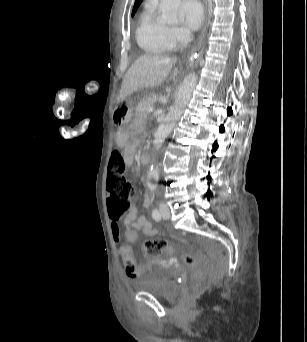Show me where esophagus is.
Returning a JSON list of instances; mask_svg holds the SVG:
<instances>
[{"instance_id":"esophagus-1","label":"esophagus","mask_w":307,"mask_h":342,"mask_svg":"<svg viewBox=\"0 0 307 342\" xmlns=\"http://www.w3.org/2000/svg\"><path fill=\"white\" fill-rule=\"evenodd\" d=\"M203 2H204V23H203L202 32L199 36L197 45L195 47H193V49L191 50L190 53H195L202 46H205V33H206V28H207L208 3H207V0H203Z\"/></svg>"}]
</instances>
